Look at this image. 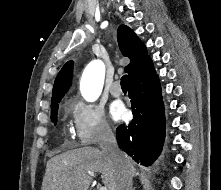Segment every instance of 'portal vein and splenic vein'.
<instances>
[{"label": "portal vein and splenic vein", "mask_w": 221, "mask_h": 190, "mask_svg": "<svg viewBox=\"0 0 221 190\" xmlns=\"http://www.w3.org/2000/svg\"><path fill=\"white\" fill-rule=\"evenodd\" d=\"M88 174L91 175V176H93V175H94V172L89 171ZM99 190H107V188L103 186V187H101Z\"/></svg>", "instance_id": "portal-vein-and-splenic-vein-1"}]
</instances>
